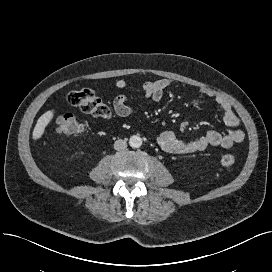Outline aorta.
<instances>
[{"label":"aorta","mask_w":272,"mask_h":272,"mask_svg":"<svg viewBox=\"0 0 272 272\" xmlns=\"http://www.w3.org/2000/svg\"><path fill=\"white\" fill-rule=\"evenodd\" d=\"M129 145L132 148H139L142 145V139L138 135H133L129 139Z\"/></svg>","instance_id":"obj_1"}]
</instances>
